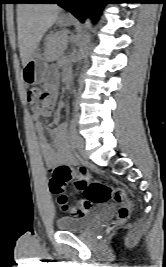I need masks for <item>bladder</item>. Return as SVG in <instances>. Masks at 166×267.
Segmentation results:
<instances>
[{"label": "bladder", "mask_w": 166, "mask_h": 267, "mask_svg": "<svg viewBox=\"0 0 166 267\" xmlns=\"http://www.w3.org/2000/svg\"><path fill=\"white\" fill-rule=\"evenodd\" d=\"M95 221V216H64L56 221V225L61 231L82 232L89 229L95 223Z\"/></svg>", "instance_id": "obj_1"}]
</instances>
